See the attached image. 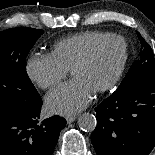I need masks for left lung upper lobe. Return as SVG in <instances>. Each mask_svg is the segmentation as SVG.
Here are the masks:
<instances>
[{"label": "left lung upper lobe", "mask_w": 155, "mask_h": 155, "mask_svg": "<svg viewBox=\"0 0 155 155\" xmlns=\"http://www.w3.org/2000/svg\"><path fill=\"white\" fill-rule=\"evenodd\" d=\"M138 38L142 45L140 58L134 61L118 89L132 87L144 81L146 78L155 75V58L153 51L140 34H138Z\"/></svg>", "instance_id": "5c2ea615"}]
</instances>
